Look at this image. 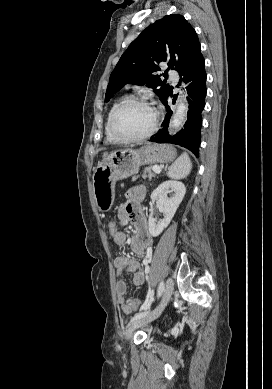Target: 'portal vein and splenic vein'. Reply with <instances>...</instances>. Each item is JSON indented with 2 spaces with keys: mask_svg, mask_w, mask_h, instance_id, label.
<instances>
[{
  "mask_svg": "<svg viewBox=\"0 0 272 389\" xmlns=\"http://www.w3.org/2000/svg\"><path fill=\"white\" fill-rule=\"evenodd\" d=\"M153 171L155 173H160L161 172V168L159 166H153Z\"/></svg>",
  "mask_w": 272,
  "mask_h": 389,
  "instance_id": "18ae733b",
  "label": "portal vein and splenic vein"
}]
</instances>
